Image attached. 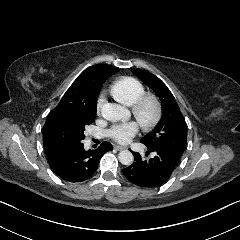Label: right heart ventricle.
<instances>
[{"instance_id":"obj_1","label":"right heart ventricle","mask_w":240,"mask_h":240,"mask_svg":"<svg viewBox=\"0 0 240 240\" xmlns=\"http://www.w3.org/2000/svg\"><path fill=\"white\" fill-rule=\"evenodd\" d=\"M143 84L131 77L116 81L110 88L111 96L124 106L131 107L135 101L144 94Z\"/></svg>"}]
</instances>
